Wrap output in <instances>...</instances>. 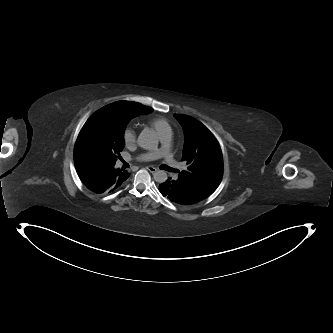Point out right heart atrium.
Returning a JSON list of instances; mask_svg holds the SVG:
<instances>
[{"mask_svg":"<svg viewBox=\"0 0 333 333\" xmlns=\"http://www.w3.org/2000/svg\"><path fill=\"white\" fill-rule=\"evenodd\" d=\"M122 140L127 148L133 146L136 141L135 130L132 127H126L122 132Z\"/></svg>","mask_w":333,"mask_h":333,"instance_id":"1","label":"right heart atrium"}]
</instances>
